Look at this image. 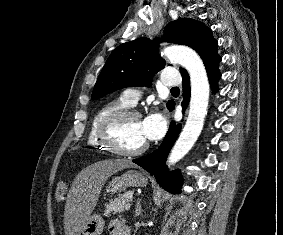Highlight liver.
I'll return each mask as SVG.
<instances>
[{
    "label": "liver",
    "mask_w": 283,
    "mask_h": 235,
    "mask_svg": "<svg viewBox=\"0 0 283 235\" xmlns=\"http://www.w3.org/2000/svg\"><path fill=\"white\" fill-rule=\"evenodd\" d=\"M136 165L126 159H108L83 169L69 190L64 212L65 235H80L97 204L101 189L114 173Z\"/></svg>",
    "instance_id": "6515ba94"
}]
</instances>
